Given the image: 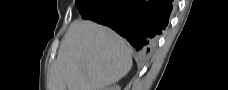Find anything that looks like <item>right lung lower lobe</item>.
Segmentation results:
<instances>
[{"mask_svg":"<svg viewBox=\"0 0 228 90\" xmlns=\"http://www.w3.org/2000/svg\"><path fill=\"white\" fill-rule=\"evenodd\" d=\"M172 4V0H104L102 6L82 18L114 29L143 59L153 52L166 28Z\"/></svg>","mask_w":228,"mask_h":90,"instance_id":"1","label":"right lung lower lobe"}]
</instances>
